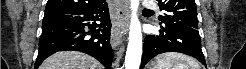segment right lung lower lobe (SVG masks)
I'll return each mask as SVG.
<instances>
[{
  "label": "right lung lower lobe",
  "mask_w": 246,
  "mask_h": 69,
  "mask_svg": "<svg viewBox=\"0 0 246 69\" xmlns=\"http://www.w3.org/2000/svg\"><path fill=\"white\" fill-rule=\"evenodd\" d=\"M91 21H100V24ZM110 16L107 3L87 8H56L45 11L35 69L61 50L87 53L111 69Z\"/></svg>",
  "instance_id": "1"
}]
</instances>
